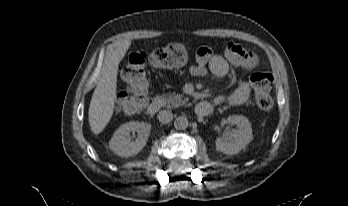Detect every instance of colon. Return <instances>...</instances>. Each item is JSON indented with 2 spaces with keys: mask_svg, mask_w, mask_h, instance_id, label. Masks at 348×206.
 Returning a JSON list of instances; mask_svg holds the SVG:
<instances>
[{
  "mask_svg": "<svg viewBox=\"0 0 348 206\" xmlns=\"http://www.w3.org/2000/svg\"><path fill=\"white\" fill-rule=\"evenodd\" d=\"M197 56H200L199 51ZM186 58L185 48L177 44H168L149 53L137 50L129 54L122 72L127 89L119 93L116 100L117 109L125 114H136L145 106L147 101L145 66L148 61L157 68L173 69L182 66ZM250 83L257 106L264 111L270 110L273 106L271 96L273 76L263 71H255L250 75Z\"/></svg>",
  "mask_w": 348,
  "mask_h": 206,
  "instance_id": "obj_1",
  "label": "colon"
}]
</instances>
